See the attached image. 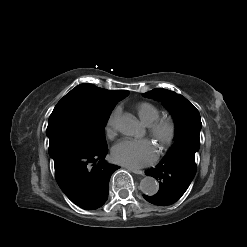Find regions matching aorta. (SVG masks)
<instances>
[{
	"mask_svg": "<svg viewBox=\"0 0 247 247\" xmlns=\"http://www.w3.org/2000/svg\"><path fill=\"white\" fill-rule=\"evenodd\" d=\"M118 130L126 136H136L140 126L137 120L130 114L123 115L118 120ZM141 191L149 196H153L158 192L159 184L153 177L146 176L140 182Z\"/></svg>",
	"mask_w": 247,
	"mask_h": 247,
	"instance_id": "1",
	"label": "aorta"
}]
</instances>
